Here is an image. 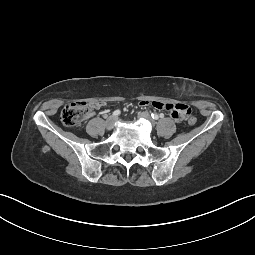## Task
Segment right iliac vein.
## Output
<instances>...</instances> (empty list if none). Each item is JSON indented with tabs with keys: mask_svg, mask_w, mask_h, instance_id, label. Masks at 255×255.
Returning a JSON list of instances; mask_svg holds the SVG:
<instances>
[{
	"mask_svg": "<svg viewBox=\"0 0 255 255\" xmlns=\"http://www.w3.org/2000/svg\"><path fill=\"white\" fill-rule=\"evenodd\" d=\"M115 122H116V117L115 116L108 117L106 122H105L106 129L107 130L113 129Z\"/></svg>",
	"mask_w": 255,
	"mask_h": 255,
	"instance_id": "63e3f726",
	"label": "right iliac vein"
}]
</instances>
